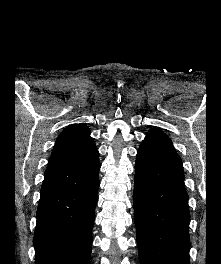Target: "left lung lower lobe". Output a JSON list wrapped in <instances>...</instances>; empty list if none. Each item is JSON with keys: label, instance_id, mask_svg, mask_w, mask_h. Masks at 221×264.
Segmentation results:
<instances>
[{"label": "left lung lower lobe", "instance_id": "left-lung-lower-lobe-1", "mask_svg": "<svg viewBox=\"0 0 221 264\" xmlns=\"http://www.w3.org/2000/svg\"><path fill=\"white\" fill-rule=\"evenodd\" d=\"M133 204L141 264H190L188 196L177 153L154 141L141 143Z\"/></svg>", "mask_w": 221, "mask_h": 264}]
</instances>
